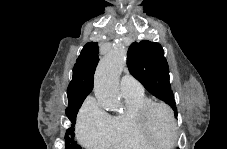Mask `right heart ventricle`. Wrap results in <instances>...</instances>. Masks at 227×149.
Instances as JSON below:
<instances>
[{"label": "right heart ventricle", "mask_w": 227, "mask_h": 149, "mask_svg": "<svg viewBox=\"0 0 227 149\" xmlns=\"http://www.w3.org/2000/svg\"><path fill=\"white\" fill-rule=\"evenodd\" d=\"M125 110L110 119L109 146L117 149H152L139 134L135 115L138 109L150 102L144 92L123 94Z\"/></svg>", "instance_id": "1"}]
</instances>
